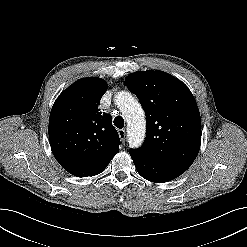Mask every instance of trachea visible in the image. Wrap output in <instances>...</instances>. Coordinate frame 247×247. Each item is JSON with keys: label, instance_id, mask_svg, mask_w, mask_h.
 <instances>
[{"label": "trachea", "instance_id": "trachea-1", "mask_svg": "<svg viewBox=\"0 0 247 247\" xmlns=\"http://www.w3.org/2000/svg\"><path fill=\"white\" fill-rule=\"evenodd\" d=\"M114 125L119 128L122 129L124 127V119L121 116H117L114 119Z\"/></svg>", "mask_w": 247, "mask_h": 247}]
</instances>
